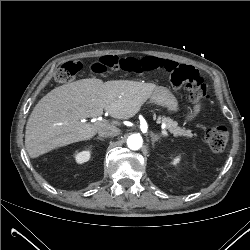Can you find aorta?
Here are the masks:
<instances>
[{
  "instance_id": "aorta-1",
  "label": "aorta",
  "mask_w": 250,
  "mask_h": 250,
  "mask_svg": "<svg viewBox=\"0 0 250 250\" xmlns=\"http://www.w3.org/2000/svg\"><path fill=\"white\" fill-rule=\"evenodd\" d=\"M143 143L142 137L139 134H132L127 139V145L131 150H138Z\"/></svg>"
}]
</instances>
